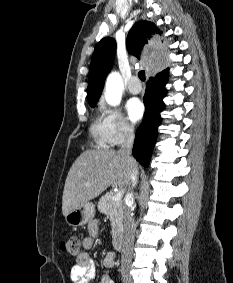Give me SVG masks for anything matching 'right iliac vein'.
<instances>
[{
    "label": "right iliac vein",
    "mask_w": 233,
    "mask_h": 283,
    "mask_svg": "<svg viewBox=\"0 0 233 283\" xmlns=\"http://www.w3.org/2000/svg\"><path fill=\"white\" fill-rule=\"evenodd\" d=\"M124 281L125 283H132L131 277L127 274H124Z\"/></svg>",
    "instance_id": "1"
}]
</instances>
